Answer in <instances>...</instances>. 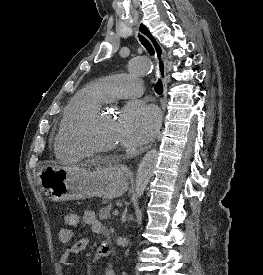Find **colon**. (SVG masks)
I'll return each mask as SVG.
<instances>
[{
    "label": "colon",
    "mask_w": 263,
    "mask_h": 275,
    "mask_svg": "<svg viewBox=\"0 0 263 275\" xmlns=\"http://www.w3.org/2000/svg\"><path fill=\"white\" fill-rule=\"evenodd\" d=\"M64 222L67 226L75 227L78 225L79 219L76 213L66 212L64 214Z\"/></svg>",
    "instance_id": "colon-1"
}]
</instances>
